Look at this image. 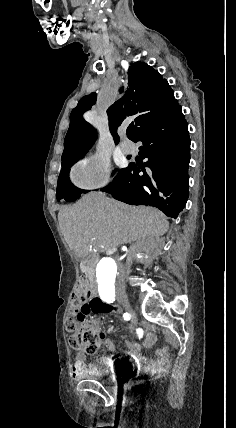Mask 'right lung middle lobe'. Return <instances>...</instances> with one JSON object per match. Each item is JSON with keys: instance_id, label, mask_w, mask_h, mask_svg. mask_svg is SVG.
Listing matches in <instances>:
<instances>
[{"instance_id": "dd1d6c3e", "label": "right lung middle lobe", "mask_w": 236, "mask_h": 428, "mask_svg": "<svg viewBox=\"0 0 236 428\" xmlns=\"http://www.w3.org/2000/svg\"><path fill=\"white\" fill-rule=\"evenodd\" d=\"M78 161V160H77ZM75 161V162H77ZM70 164L66 169L61 170L58 177L56 198L58 201L64 199L67 202L75 201L80 198L82 193H87L88 190H81L75 187L69 179L70 167L75 163ZM115 173V172H114Z\"/></svg>"}]
</instances>
